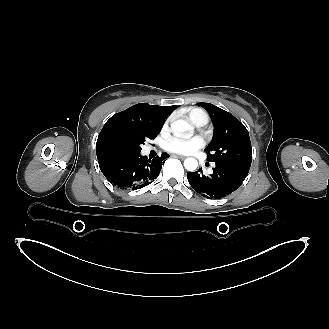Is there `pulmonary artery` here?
I'll list each match as a JSON object with an SVG mask.
<instances>
[{"mask_svg": "<svg viewBox=\"0 0 329 329\" xmlns=\"http://www.w3.org/2000/svg\"><path fill=\"white\" fill-rule=\"evenodd\" d=\"M205 124H206V122L202 121V122L198 123L197 126H203Z\"/></svg>", "mask_w": 329, "mask_h": 329, "instance_id": "e3ab8cb5", "label": "pulmonary artery"}]
</instances>
